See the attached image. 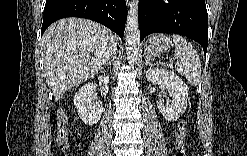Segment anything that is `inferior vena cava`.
<instances>
[{"label":"inferior vena cava","instance_id":"602c4592","mask_svg":"<svg viewBox=\"0 0 247 156\" xmlns=\"http://www.w3.org/2000/svg\"><path fill=\"white\" fill-rule=\"evenodd\" d=\"M115 53H116V43H112L108 47L107 52H106V55H105L106 62L112 61L113 58H114Z\"/></svg>","mask_w":247,"mask_h":156}]
</instances>
